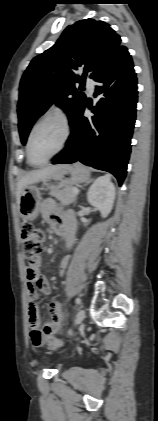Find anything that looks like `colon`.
<instances>
[{
  "label": "colon",
  "mask_w": 158,
  "mask_h": 421,
  "mask_svg": "<svg viewBox=\"0 0 158 421\" xmlns=\"http://www.w3.org/2000/svg\"><path fill=\"white\" fill-rule=\"evenodd\" d=\"M22 250L23 255L29 265H33L39 258L42 251V244L44 241V233L41 229H38L30 224L23 226L21 231ZM35 343L39 344L42 341L41 336L36 333L34 335ZM50 348H58L62 345L61 339L54 335L47 336L44 340Z\"/></svg>",
  "instance_id": "obj_1"
}]
</instances>
